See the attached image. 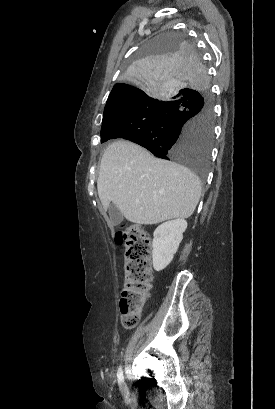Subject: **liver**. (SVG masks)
<instances>
[{"mask_svg": "<svg viewBox=\"0 0 275 409\" xmlns=\"http://www.w3.org/2000/svg\"><path fill=\"white\" fill-rule=\"evenodd\" d=\"M201 180L190 168L155 158L129 140H115L101 158L97 190L103 209L110 202L127 221L156 225L188 219L201 196Z\"/></svg>", "mask_w": 275, "mask_h": 409, "instance_id": "1", "label": "liver"}]
</instances>
